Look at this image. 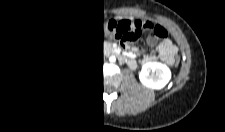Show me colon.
<instances>
[{
  "label": "colon",
  "mask_w": 225,
  "mask_h": 132,
  "mask_svg": "<svg viewBox=\"0 0 225 132\" xmlns=\"http://www.w3.org/2000/svg\"><path fill=\"white\" fill-rule=\"evenodd\" d=\"M86 25L84 23H79L76 25L74 29L75 34H80L85 31ZM89 29L93 34H99L103 36V34H109L114 36L116 39H121V41H136L141 35L142 31H150L151 37L165 38L167 36V32L165 29L160 27H154L150 30H144V28L138 27L134 31L129 32H120L118 28L114 25L112 20L104 21L103 18H98L94 20L91 24H89ZM179 58L176 57L175 64L178 63Z\"/></svg>",
  "instance_id": "5ec220e1"
}]
</instances>
